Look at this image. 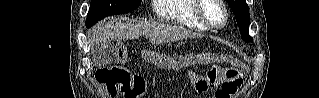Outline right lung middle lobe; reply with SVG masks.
Listing matches in <instances>:
<instances>
[{"label": "right lung middle lobe", "instance_id": "1", "mask_svg": "<svg viewBox=\"0 0 319 98\" xmlns=\"http://www.w3.org/2000/svg\"><path fill=\"white\" fill-rule=\"evenodd\" d=\"M141 0H91L86 19V27H91L101 19L135 10Z\"/></svg>", "mask_w": 319, "mask_h": 98}]
</instances>
